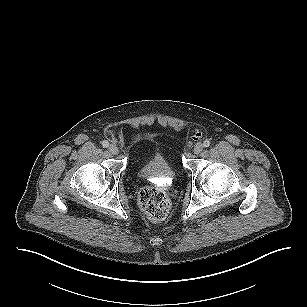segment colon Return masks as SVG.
Listing matches in <instances>:
<instances>
[{
	"mask_svg": "<svg viewBox=\"0 0 307 307\" xmlns=\"http://www.w3.org/2000/svg\"><path fill=\"white\" fill-rule=\"evenodd\" d=\"M139 207L152 221L164 220L170 211V201L166 193L159 187L147 186L140 190Z\"/></svg>",
	"mask_w": 307,
	"mask_h": 307,
	"instance_id": "obj_1",
	"label": "colon"
}]
</instances>
